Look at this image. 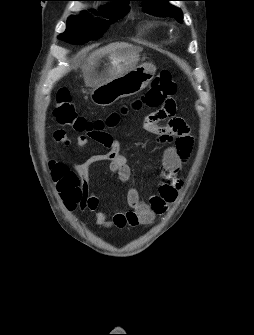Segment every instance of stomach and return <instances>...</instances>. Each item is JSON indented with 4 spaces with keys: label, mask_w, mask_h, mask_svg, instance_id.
Segmentation results:
<instances>
[{
    "label": "stomach",
    "mask_w": 254,
    "mask_h": 335,
    "mask_svg": "<svg viewBox=\"0 0 254 335\" xmlns=\"http://www.w3.org/2000/svg\"><path fill=\"white\" fill-rule=\"evenodd\" d=\"M140 48L126 46L99 59L89 70L86 82L92 87L90 98L98 106H108L119 98L134 95L147 87L156 67L138 65Z\"/></svg>",
    "instance_id": "1"
}]
</instances>
